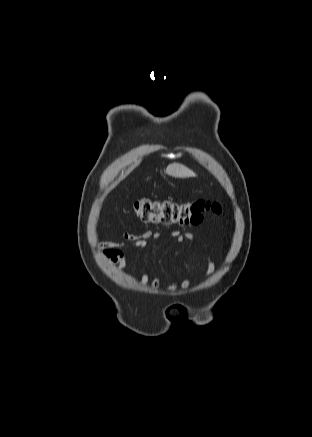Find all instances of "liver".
Returning <instances> with one entry per match:
<instances>
[{
    "mask_svg": "<svg viewBox=\"0 0 312 437\" xmlns=\"http://www.w3.org/2000/svg\"><path fill=\"white\" fill-rule=\"evenodd\" d=\"M166 173L168 175L179 177V178H187V177H194L196 174L188 169L186 166L179 164V163H172L167 166Z\"/></svg>",
    "mask_w": 312,
    "mask_h": 437,
    "instance_id": "obj_1",
    "label": "liver"
}]
</instances>
